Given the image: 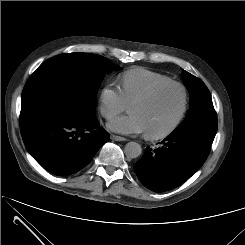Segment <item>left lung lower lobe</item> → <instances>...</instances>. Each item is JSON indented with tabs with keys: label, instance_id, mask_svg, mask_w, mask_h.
Returning a JSON list of instances; mask_svg holds the SVG:
<instances>
[{
	"label": "left lung lower lobe",
	"instance_id": "0a47b994",
	"mask_svg": "<svg viewBox=\"0 0 245 245\" xmlns=\"http://www.w3.org/2000/svg\"><path fill=\"white\" fill-rule=\"evenodd\" d=\"M162 147L146 153L136 163L141 183L155 192L171 190L188 180L204 164L210 141L193 134L169 135Z\"/></svg>",
	"mask_w": 245,
	"mask_h": 245
}]
</instances>
